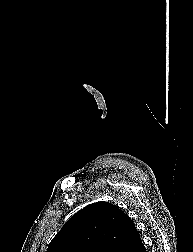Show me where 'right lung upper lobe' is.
<instances>
[{
  "label": "right lung upper lobe",
  "instance_id": "right-lung-upper-lobe-1",
  "mask_svg": "<svg viewBox=\"0 0 193 252\" xmlns=\"http://www.w3.org/2000/svg\"><path fill=\"white\" fill-rule=\"evenodd\" d=\"M140 242L134 223L119 207L96 202L74 214L46 252H132Z\"/></svg>",
  "mask_w": 193,
  "mask_h": 252
}]
</instances>
